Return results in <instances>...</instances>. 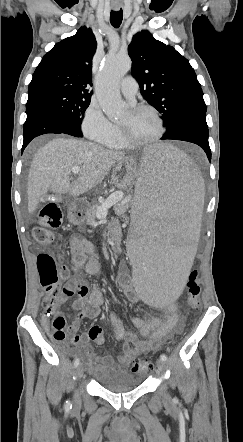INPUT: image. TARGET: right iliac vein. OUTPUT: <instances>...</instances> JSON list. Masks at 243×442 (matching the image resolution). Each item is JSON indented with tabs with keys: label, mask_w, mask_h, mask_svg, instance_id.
Instances as JSON below:
<instances>
[{
	"label": "right iliac vein",
	"mask_w": 243,
	"mask_h": 442,
	"mask_svg": "<svg viewBox=\"0 0 243 442\" xmlns=\"http://www.w3.org/2000/svg\"><path fill=\"white\" fill-rule=\"evenodd\" d=\"M76 375H77L78 379L82 378V376H83V366H82V364L78 365V367L76 369ZM74 404H75V406L80 404V397H79V394H78L77 391L75 392V395H74Z\"/></svg>",
	"instance_id": "63e3f726"
}]
</instances>
